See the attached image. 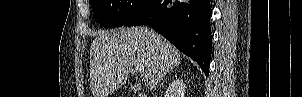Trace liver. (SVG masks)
Instances as JSON below:
<instances>
[{
  "mask_svg": "<svg viewBox=\"0 0 302 97\" xmlns=\"http://www.w3.org/2000/svg\"><path fill=\"white\" fill-rule=\"evenodd\" d=\"M181 59L174 45L147 27L102 31L90 49L93 97H108L126 83L130 69L137 64L144 66V84L152 90Z\"/></svg>",
  "mask_w": 302,
  "mask_h": 97,
  "instance_id": "liver-1",
  "label": "liver"
}]
</instances>
